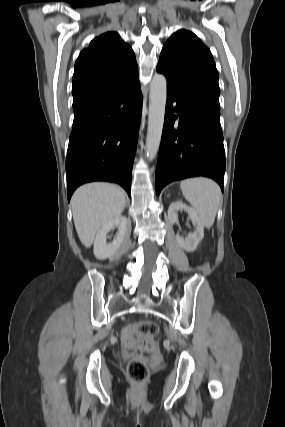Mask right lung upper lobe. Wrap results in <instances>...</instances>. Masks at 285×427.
I'll use <instances>...</instances> for the list:
<instances>
[{
	"instance_id": "obj_1",
	"label": "right lung upper lobe",
	"mask_w": 285,
	"mask_h": 427,
	"mask_svg": "<svg viewBox=\"0 0 285 427\" xmlns=\"http://www.w3.org/2000/svg\"><path fill=\"white\" fill-rule=\"evenodd\" d=\"M138 75L131 47L116 32L96 37L76 63L72 79L73 105Z\"/></svg>"
}]
</instances>
